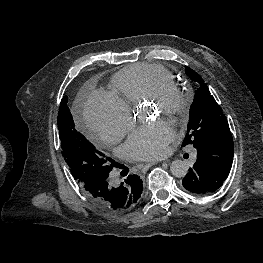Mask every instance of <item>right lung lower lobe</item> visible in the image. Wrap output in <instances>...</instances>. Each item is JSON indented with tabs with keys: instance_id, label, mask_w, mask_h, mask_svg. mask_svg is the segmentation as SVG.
<instances>
[{
	"instance_id": "1",
	"label": "right lung lower lobe",
	"mask_w": 263,
	"mask_h": 263,
	"mask_svg": "<svg viewBox=\"0 0 263 263\" xmlns=\"http://www.w3.org/2000/svg\"><path fill=\"white\" fill-rule=\"evenodd\" d=\"M108 176L87 180L81 184L90 202L105 212L112 213L113 210L130 202L131 196L137 193L139 187L143 190L142 180L135 174L129 175L124 182L116 186H112Z\"/></svg>"
}]
</instances>
